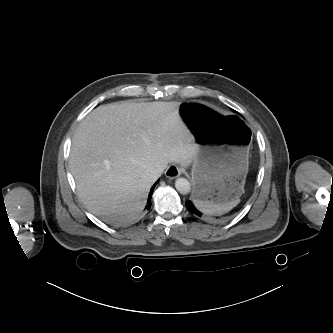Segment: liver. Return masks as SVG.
Returning a JSON list of instances; mask_svg holds the SVG:
<instances>
[{
	"instance_id": "6515ba94",
	"label": "liver",
	"mask_w": 333,
	"mask_h": 333,
	"mask_svg": "<svg viewBox=\"0 0 333 333\" xmlns=\"http://www.w3.org/2000/svg\"><path fill=\"white\" fill-rule=\"evenodd\" d=\"M179 102L102 105L76 129L70 169L87 209L108 223L138 219L155 179L148 169L170 162L188 167L198 145L179 113Z\"/></svg>"
}]
</instances>
